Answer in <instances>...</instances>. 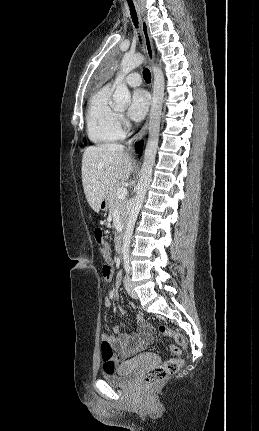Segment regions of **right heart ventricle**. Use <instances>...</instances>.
Returning <instances> with one entry per match:
<instances>
[{"label": "right heart ventricle", "mask_w": 259, "mask_h": 431, "mask_svg": "<svg viewBox=\"0 0 259 431\" xmlns=\"http://www.w3.org/2000/svg\"><path fill=\"white\" fill-rule=\"evenodd\" d=\"M112 87L106 85L90 98L86 112V131L95 144L117 141L123 137L118 113L110 104Z\"/></svg>", "instance_id": "1"}]
</instances>
